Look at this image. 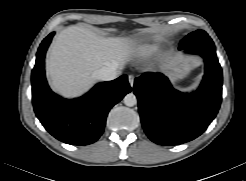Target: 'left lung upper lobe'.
<instances>
[{"mask_svg": "<svg viewBox=\"0 0 246 181\" xmlns=\"http://www.w3.org/2000/svg\"><path fill=\"white\" fill-rule=\"evenodd\" d=\"M211 39L208 34L203 30H197L190 34H188L185 38H183L180 42V47H185L187 45L202 41V40H208Z\"/></svg>", "mask_w": 246, "mask_h": 181, "instance_id": "obj_1", "label": "left lung upper lobe"}]
</instances>
